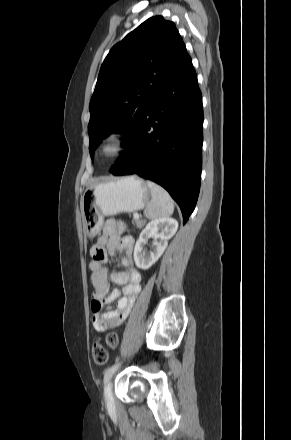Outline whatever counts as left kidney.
I'll return each instance as SVG.
<instances>
[{"instance_id":"left-kidney-1","label":"left kidney","mask_w":291,"mask_h":440,"mask_svg":"<svg viewBox=\"0 0 291 440\" xmlns=\"http://www.w3.org/2000/svg\"><path fill=\"white\" fill-rule=\"evenodd\" d=\"M178 229L177 220L161 217L149 222L141 232L134 248V261L138 268L149 269L164 253L168 240L173 237ZM154 238L150 252L145 250L148 238Z\"/></svg>"}]
</instances>
